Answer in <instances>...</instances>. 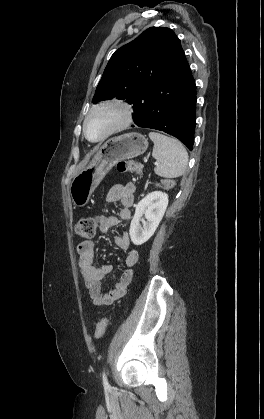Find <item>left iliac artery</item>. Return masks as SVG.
Listing matches in <instances>:
<instances>
[{"instance_id": "left-iliac-artery-1", "label": "left iliac artery", "mask_w": 264, "mask_h": 419, "mask_svg": "<svg viewBox=\"0 0 264 419\" xmlns=\"http://www.w3.org/2000/svg\"><path fill=\"white\" fill-rule=\"evenodd\" d=\"M103 384H104V386H109L106 375H105V372H103Z\"/></svg>"}]
</instances>
